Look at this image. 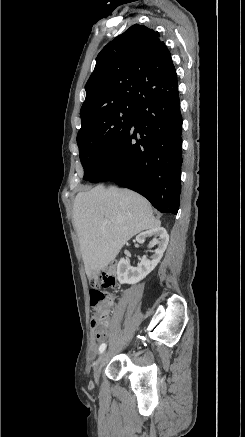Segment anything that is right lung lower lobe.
<instances>
[{"label": "right lung lower lobe", "mask_w": 245, "mask_h": 437, "mask_svg": "<svg viewBox=\"0 0 245 437\" xmlns=\"http://www.w3.org/2000/svg\"><path fill=\"white\" fill-rule=\"evenodd\" d=\"M182 116L178 87L135 105L131 123L110 155L87 177L112 181L177 214L181 192Z\"/></svg>", "instance_id": "98d812e1"}]
</instances>
